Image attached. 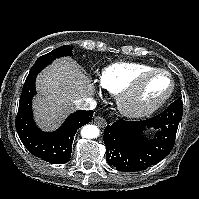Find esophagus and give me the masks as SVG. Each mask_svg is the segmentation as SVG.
I'll list each match as a JSON object with an SVG mask.
<instances>
[{"label":"esophagus","mask_w":199,"mask_h":199,"mask_svg":"<svg viewBox=\"0 0 199 199\" xmlns=\"http://www.w3.org/2000/svg\"><path fill=\"white\" fill-rule=\"evenodd\" d=\"M94 123H95L98 127L102 128V127H104V126L107 124V121H106V119H105L104 117H102V116H95V117H94Z\"/></svg>","instance_id":"esophagus-1"}]
</instances>
